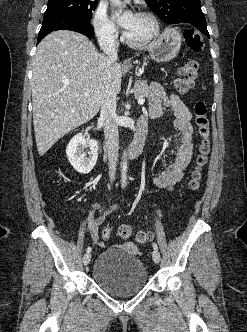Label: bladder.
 Returning a JSON list of instances; mask_svg holds the SVG:
<instances>
[{
  "label": "bladder",
  "mask_w": 247,
  "mask_h": 332,
  "mask_svg": "<svg viewBox=\"0 0 247 332\" xmlns=\"http://www.w3.org/2000/svg\"><path fill=\"white\" fill-rule=\"evenodd\" d=\"M92 276L100 289L120 298L139 293L148 283L146 266L128 244L112 245L102 251Z\"/></svg>",
  "instance_id": "obj_1"
}]
</instances>
